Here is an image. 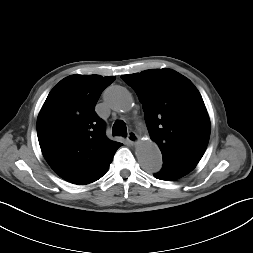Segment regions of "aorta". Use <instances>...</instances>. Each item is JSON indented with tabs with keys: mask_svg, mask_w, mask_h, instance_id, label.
Here are the masks:
<instances>
[{
	"mask_svg": "<svg viewBox=\"0 0 253 253\" xmlns=\"http://www.w3.org/2000/svg\"><path fill=\"white\" fill-rule=\"evenodd\" d=\"M104 101L109 108L118 112L129 111L133 99L131 93L122 86H111L104 93ZM136 156L140 166L148 172H157L162 166V155L157 144L141 141L136 147Z\"/></svg>",
	"mask_w": 253,
	"mask_h": 253,
	"instance_id": "obj_1",
	"label": "aorta"
}]
</instances>
